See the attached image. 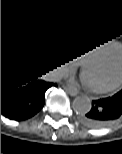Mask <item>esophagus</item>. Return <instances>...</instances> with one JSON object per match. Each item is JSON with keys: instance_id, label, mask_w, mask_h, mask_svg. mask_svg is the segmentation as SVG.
I'll return each instance as SVG.
<instances>
[{"instance_id": "1", "label": "esophagus", "mask_w": 122, "mask_h": 154, "mask_svg": "<svg viewBox=\"0 0 122 154\" xmlns=\"http://www.w3.org/2000/svg\"><path fill=\"white\" fill-rule=\"evenodd\" d=\"M64 89L71 96H76L79 92L76 88L65 87Z\"/></svg>"}]
</instances>
